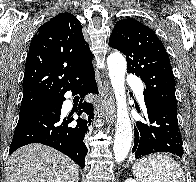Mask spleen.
<instances>
[{
  "instance_id": "spleen-1",
  "label": "spleen",
  "mask_w": 196,
  "mask_h": 182,
  "mask_svg": "<svg viewBox=\"0 0 196 182\" xmlns=\"http://www.w3.org/2000/svg\"><path fill=\"white\" fill-rule=\"evenodd\" d=\"M139 182H185L180 164L164 154H153L141 158L132 167Z\"/></svg>"
}]
</instances>
